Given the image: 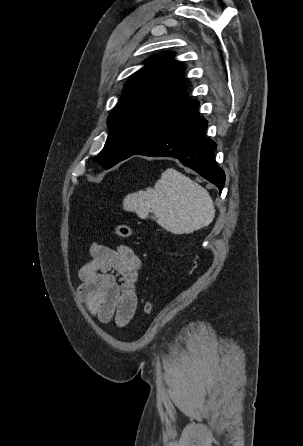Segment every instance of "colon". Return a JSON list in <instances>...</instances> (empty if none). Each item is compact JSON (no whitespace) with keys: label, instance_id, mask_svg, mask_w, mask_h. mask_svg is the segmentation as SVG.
Instances as JSON below:
<instances>
[{"label":"colon","instance_id":"5ec220e1","mask_svg":"<svg viewBox=\"0 0 303 446\" xmlns=\"http://www.w3.org/2000/svg\"><path fill=\"white\" fill-rule=\"evenodd\" d=\"M115 233L120 238H130L133 234L132 228L127 224H118L115 226ZM154 310V303L152 301H146L143 305V312L150 314Z\"/></svg>","mask_w":303,"mask_h":446}]
</instances>
